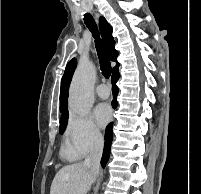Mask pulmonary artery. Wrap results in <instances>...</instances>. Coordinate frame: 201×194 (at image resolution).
Returning a JSON list of instances; mask_svg holds the SVG:
<instances>
[{"mask_svg": "<svg viewBox=\"0 0 201 194\" xmlns=\"http://www.w3.org/2000/svg\"><path fill=\"white\" fill-rule=\"evenodd\" d=\"M96 94L101 99H107L109 97V94H110L107 85H105V84H99L96 87Z\"/></svg>", "mask_w": 201, "mask_h": 194, "instance_id": "obj_1", "label": "pulmonary artery"}]
</instances>
